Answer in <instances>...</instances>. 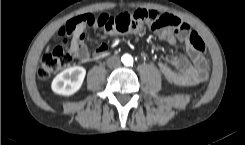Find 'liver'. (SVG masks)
Masks as SVG:
<instances>
[{
  "instance_id": "liver-1",
  "label": "liver",
  "mask_w": 245,
  "mask_h": 145,
  "mask_svg": "<svg viewBox=\"0 0 245 145\" xmlns=\"http://www.w3.org/2000/svg\"><path fill=\"white\" fill-rule=\"evenodd\" d=\"M49 49H50V46H47V48H46V50H45V54H48Z\"/></svg>"
}]
</instances>
